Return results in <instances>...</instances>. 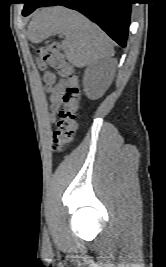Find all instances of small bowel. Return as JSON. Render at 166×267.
<instances>
[{"mask_svg": "<svg viewBox=\"0 0 166 267\" xmlns=\"http://www.w3.org/2000/svg\"><path fill=\"white\" fill-rule=\"evenodd\" d=\"M67 83L65 80H60L51 91V104L53 108H57L60 103V96L66 87Z\"/></svg>", "mask_w": 166, "mask_h": 267, "instance_id": "obj_1", "label": "small bowel"}]
</instances>
